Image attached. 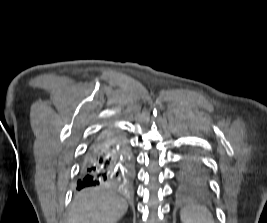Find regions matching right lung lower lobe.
<instances>
[{"instance_id":"obj_1","label":"right lung lower lobe","mask_w":267,"mask_h":223,"mask_svg":"<svg viewBox=\"0 0 267 223\" xmlns=\"http://www.w3.org/2000/svg\"><path fill=\"white\" fill-rule=\"evenodd\" d=\"M134 177V168L126 138L108 130L99 135L87 150L77 182V189L109 185L127 190Z\"/></svg>"}]
</instances>
